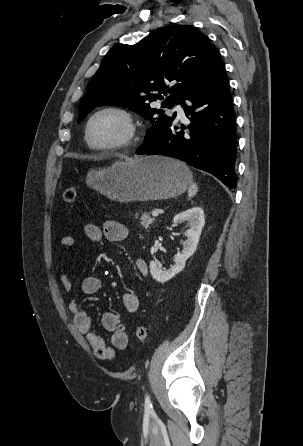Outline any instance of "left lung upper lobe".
<instances>
[{
    "label": "left lung upper lobe",
    "instance_id": "5c2ea615",
    "mask_svg": "<svg viewBox=\"0 0 303 446\" xmlns=\"http://www.w3.org/2000/svg\"><path fill=\"white\" fill-rule=\"evenodd\" d=\"M217 55L207 36L190 25H172L156 30L135 45L113 47L87 85L78 122L95 107H128L152 122L145 141L150 142L172 122L173 116L150 107L168 95L163 108H172L210 69ZM169 82L174 85L168 88Z\"/></svg>",
    "mask_w": 303,
    "mask_h": 446
}]
</instances>
